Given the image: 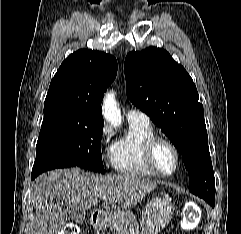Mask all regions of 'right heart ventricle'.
I'll return each mask as SVG.
<instances>
[{"instance_id":"right-heart-ventricle-1","label":"right heart ventricle","mask_w":241,"mask_h":234,"mask_svg":"<svg viewBox=\"0 0 241 234\" xmlns=\"http://www.w3.org/2000/svg\"><path fill=\"white\" fill-rule=\"evenodd\" d=\"M155 135L150 122L129 121L128 132L113 144L110 151L114 171L129 176H156L144 159L145 144Z\"/></svg>"}]
</instances>
